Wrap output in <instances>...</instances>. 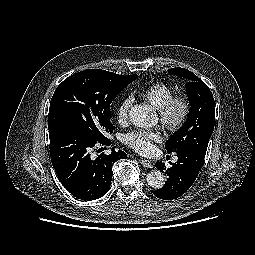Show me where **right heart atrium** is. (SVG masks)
<instances>
[{
	"label": "right heart atrium",
	"mask_w": 255,
	"mask_h": 255,
	"mask_svg": "<svg viewBox=\"0 0 255 255\" xmlns=\"http://www.w3.org/2000/svg\"><path fill=\"white\" fill-rule=\"evenodd\" d=\"M132 105V97L128 96L121 100L117 106L116 115L119 121L127 119Z\"/></svg>",
	"instance_id": "1"
}]
</instances>
